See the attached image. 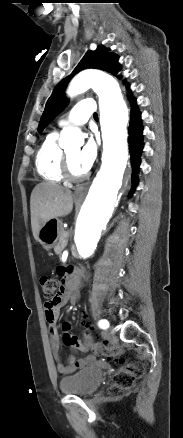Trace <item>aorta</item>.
I'll use <instances>...</instances> for the list:
<instances>
[{"instance_id":"1","label":"aorta","mask_w":183,"mask_h":438,"mask_svg":"<svg viewBox=\"0 0 183 438\" xmlns=\"http://www.w3.org/2000/svg\"><path fill=\"white\" fill-rule=\"evenodd\" d=\"M89 88H93L99 96L103 155L101 168L76 219L74 239L77 253L83 259L93 255L112 215L128 160L129 112L118 82L100 72L84 71L73 78L67 94L73 97ZM76 132L73 127H65L60 145H68Z\"/></svg>"}]
</instances>
